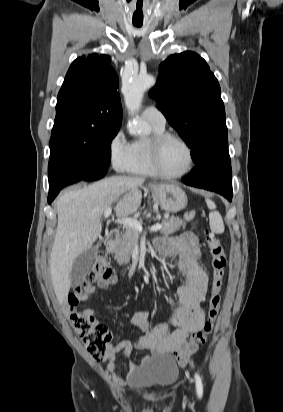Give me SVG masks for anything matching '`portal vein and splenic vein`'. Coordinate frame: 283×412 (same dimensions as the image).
Segmentation results:
<instances>
[{"mask_svg":"<svg viewBox=\"0 0 283 412\" xmlns=\"http://www.w3.org/2000/svg\"><path fill=\"white\" fill-rule=\"evenodd\" d=\"M111 212H112L111 207H108L104 212V218L107 219L110 216ZM115 223L122 224L126 227H131V228L137 230L138 232L143 231L142 224L134 218L119 217L118 219L115 220ZM161 228H162V225L160 223H157V224L153 225L152 227H150L149 230L150 231H159V230H161Z\"/></svg>","mask_w":283,"mask_h":412,"instance_id":"1","label":"portal vein and splenic vein"}]
</instances>
